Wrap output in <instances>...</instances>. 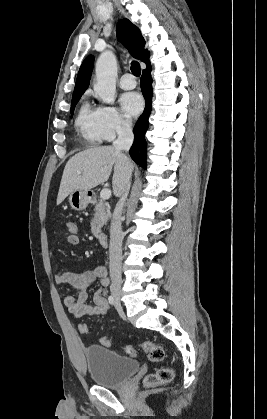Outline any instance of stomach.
I'll use <instances>...</instances> for the list:
<instances>
[{
    "mask_svg": "<svg viewBox=\"0 0 267 419\" xmlns=\"http://www.w3.org/2000/svg\"><path fill=\"white\" fill-rule=\"evenodd\" d=\"M90 190H75L70 193L69 203L72 209L82 211L86 209L91 200Z\"/></svg>",
    "mask_w": 267,
    "mask_h": 419,
    "instance_id": "obj_1",
    "label": "stomach"
}]
</instances>
